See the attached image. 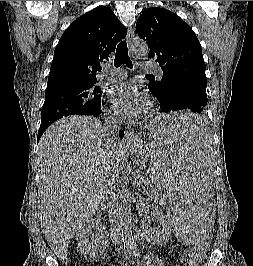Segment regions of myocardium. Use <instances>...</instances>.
<instances>
[{
  "label": "myocardium",
  "instance_id": "1",
  "mask_svg": "<svg viewBox=\"0 0 253 266\" xmlns=\"http://www.w3.org/2000/svg\"><path fill=\"white\" fill-rule=\"evenodd\" d=\"M156 110V105L154 101H149L146 108V114L147 116L151 117Z\"/></svg>",
  "mask_w": 253,
  "mask_h": 266
}]
</instances>
